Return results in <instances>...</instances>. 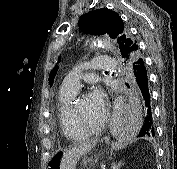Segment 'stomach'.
Here are the masks:
<instances>
[{
  "label": "stomach",
  "mask_w": 177,
  "mask_h": 169,
  "mask_svg": "<svg viewBox=\"0 0 177 169\" xmlns=\"http://www.w3.org/2000/svg\"><path fill=\"white\" fill-rule=\"evenodd\" d=\"M62 153H57L55 154L49 164H48V169H60V161L62 158ZM98 157L95 156V158H86L84 159V163L87 164L89 163L91 166L94 165L97 162Z\"/></svg>",
  "instance_id": "obj_1"
}]
</instances>
